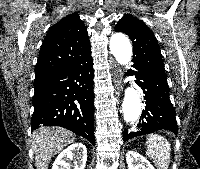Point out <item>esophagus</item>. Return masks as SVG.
<instances>
[{"mask_svg": "<svg viewBox=\"0 0 200 169\" xmlns=\"http://www.w3.org/2000/svg\"><path fill=\"white\" fill-rule=\"evenodd\" d=\"M112 72H113V81H114V85L115 88L117 90H120L121 85H120V81H121V71L120 69L117 67L116 64H113L112 66Z\"/></svg>", "mask_w": 200, "mask_h": 169, "instance_id": "esophagus-1", "label": "esophagus"}]
</instances>
